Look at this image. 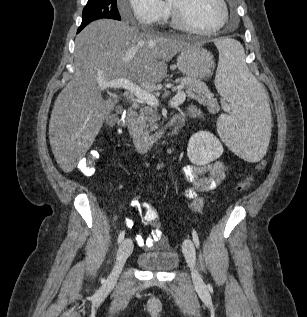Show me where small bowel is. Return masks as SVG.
Wrapping results in <instances>:
<instances>
[{"instance_id":"obj_1","label":"small bowel","mask_w":307,"mask_h":317,"mask_svg":"<svg viewBox=\"0 0 307 317\" xmlns=\"http://www.w3.org/2000/svg\"><path fill=\"white\" fill-rule=\"evenodd\" d=\"M195 112L196 110L191 108L188 115L193 116ZM227 170L228 167L226 163L222 161H216L202 166L186 165L182 168L181 173L184 180L191 184V186L185 190V195L192 198L191 207L194 210L199 211L203 206V198L199 194L216 189L225 179ZM127 226L131 227L132 223L128 221ZM136 243L147 249L154 247L156 243L164 245L159 231L153 232L148 237L138 235L136 237Z\"/></svg>"}]
</instances>
